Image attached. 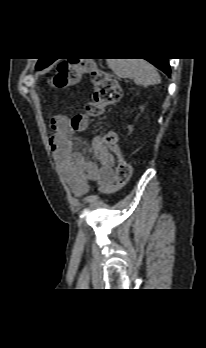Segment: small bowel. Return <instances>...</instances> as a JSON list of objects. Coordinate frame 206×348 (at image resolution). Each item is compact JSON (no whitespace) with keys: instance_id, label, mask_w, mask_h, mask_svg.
Masks as SVG:
<instances>
[{"instance_id":"small-bowel-1","label":"small bowel","mask_w":206,"mask_h":348,"mask_svg":"<svg viewBox=\"0 0 206 348\" xmlns=\"http://www.w3.org/2000/svg\"><path fill=\"white\" fill-rule=\"evenodd\" d=\"M50 125L53 131L50 145L60 174L76 196H83L88 191L90 182L103 187L114 184L115 159L100 136H95L91 142L97 164L88 161L82 151L74 148V135L68 117L56 116L52 118Z\"/></svg>"}]
</instances>
